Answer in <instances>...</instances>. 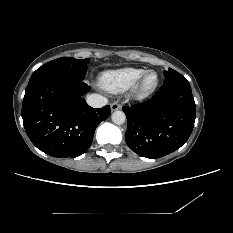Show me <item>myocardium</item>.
I'll return each mask as SVG.
<instances>
[{
	"label": "myocardium",
	"mask_w": 233,
	"mask_h": 233,
	"mask_svg": "<svg viewBox=\"0 0 233 233\" xmlns=\"http://www.w3.org/2000/svg\"><path fill=\"white\" fill-rule=\"evenodd\" d=\"M150 75H154L153 82L149 83L148 78ZM159 78L156 71H146L134 85L133 93L139 98L147 97L158 86Z\"/></svg>",
	"instance_id": "f54148a6"
}]
</instances>
